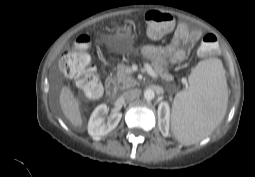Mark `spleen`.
I'll use <instances>...</instances> for the list:
<instances>
[{
  "mask_svg": "<svg viewBox=\"0 0 255 177\" xmlns=\"http://www.w3.org/2000/svg\"><path fill=\"white\" fill-rule=\"evenodd\" d=\"M189 88L176 94L171 129L177 140L191 145L207 137L225 116L228 87L222 62L200 61L189 76Z\"/></svg>",
  "mask_w": 255,
  "mask_h": 177,
  "instance_id": "1",
  "label": "spleen"
}]
</instances>
